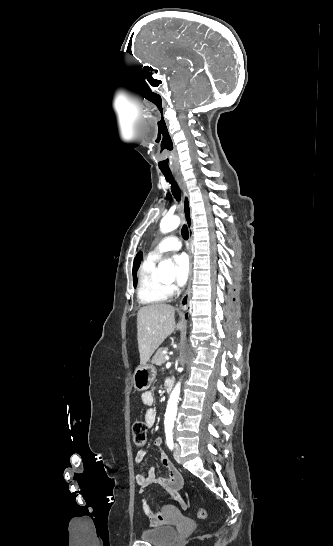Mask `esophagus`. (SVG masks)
I'll return each mask as SVG.
<instances>
[{"label":"esophagus","mask_w":333,"mask_h":546,"mask_svg":"<svg viewBox=\"0 0 333 546\" xmlns=\"http://www.w3.org/2000/svg\"><path fill=\"white\" fill-rule=\"evenodd\" d=\"M176 180H177L178 185L180 186V188L182 190V193H183L184 220H185V222H186V224H187V226L189 228V238H190V244H191L192 237H193V232H192L191 207H190L189 195H188V192H187V189H186L184 183L182 182L181 178L178 175L176 176ZM189 255H190L189 283H188L187 290H186L185 294L183 295V297H182V299L180 301V308L182 310H185L188 307L189 301H190V295H191L192 262H193L191 249L189 250Z\"/></svg>","instance_id":"obj_1"}]
</instances>
